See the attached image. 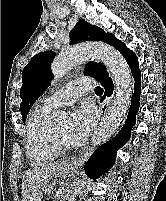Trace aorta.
Returning <instances> with one entry per match:
<instances>
[{"mask_svg":"<svg viewBox=\"0 0 166 201\" xmlns=\"http://www.w3.org/2000/svg\"><path fill=\"white\" fill-rule=\"evenodd\" d=\"M90 58L100 59L105 64L116 85L113 104L92 137V144L97 146L108 140L120 126L131 101L132 79L124 57L113 47L99 43L78 45L60 52L51 65L54 80L61 79L73 67ZM54 116L58 120H64L67 117L61 110H57ZM72 189L69 201L76 200L79 193V181L74 182Z\"/></svg>","mask_w":166,"mask_h":201,"instance_id":"1","label":"aorta"}]
</instances>
